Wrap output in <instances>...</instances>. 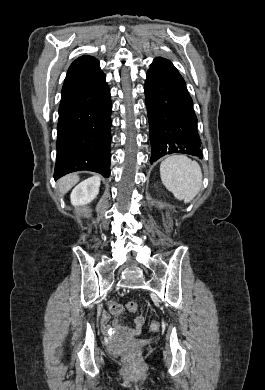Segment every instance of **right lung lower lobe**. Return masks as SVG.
I'll list each match as a JSON object with an SVG mask.
<instances>
[{
    "label": "right lung lower lobe",
    "instance_id": "obj_1",
    "mask_svg": "<svg viewBox=\"0 0 265 390\" xmlns=\"http://www.w3.org/2000/svg\"><path fill=\"white\" fill-rule=\"evenodd\" d=\"M111 109L99 61L66 76L59 106L55 180L79 170L110 175Z\"/></svg>",
    "mask_w": 265,
    "mask_h": 390
}]
</instances>
